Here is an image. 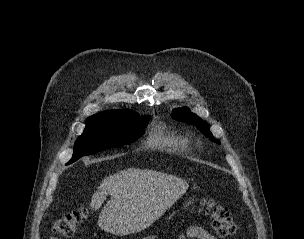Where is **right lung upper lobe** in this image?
Masks as SVG:
<instances>
[{"instance_id":"cb5924a9","label":"right lung upper lobe","mask_w":304,"mask_h":239,"mask_svg":"<svg viewBox=\"0 0 304 239\" xmlns=\"http://www.w3.org/2000/svg\"><path fill=\"white\" fill-rule=\"evenodd\" d=\"M129 111H131V110H108V111L100 112L91 117H118V116L124 115L125 113H127Z\"/></svg>"}]
</instances>
